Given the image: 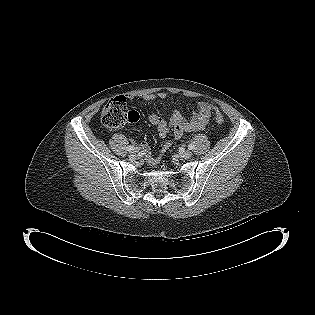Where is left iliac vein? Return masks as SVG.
Returning <instances> with one entry per match:
<instances>
[{
    "mask_svg": "<svg viewBox=\"0 0 315 315\" xmlns=\"http://www.w3.org/2000/svg\"><path fill=\"white\" fill-rule=\"evenodd\" d=\"M180 157L182 158V159H190L191 157H192V152L191 151H183V152H181L180 154Z\"/></svg>",
    "mask_w": 315,
    "mask_h": 315,
    "instance_id": "obj_1",
    "label": "left iliac vein"
}]
</instances>
